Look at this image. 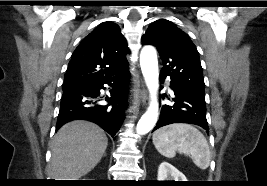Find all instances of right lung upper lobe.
Listing matches in <instances>:
<instances>
[{
  "instance_id": "cb5924a9",
  "label": "right lung upper lobe",
  "mask_w": 267,
  "mask_h": 186,
  "mask_svg": "<svg viewBox=\"0 0 267 186\" xmlns=\"http://www.w3.org/2000/svg\"><path fill=\"white\" fill-rule=\"evenodd\" d=\"M127 42L119 26L107 21L98 25L75 49L64 84L108 76L128 65Z\"/></svg>"
}]
</instances>
